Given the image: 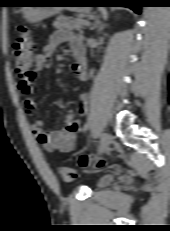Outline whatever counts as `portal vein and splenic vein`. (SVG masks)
<instances>
[{
    "label": "portal vein and splenic vein",
    "mask_w": 170,
    "mask_h": 231,
    "mask_svg": "<svg viewBox=\"0 0 170 231\" xmlns=\"http://www.w3.org/2000/svg\"><path fill=\"white\" fill-rule=\"evenodd\" d=\"M78 22L81 23V24H83V25L89 26V22L88 21L79 20Z\"/></svg>",
    "instance_id": "portal-vein-and-splenic-vein-1"
}]
</instances>
